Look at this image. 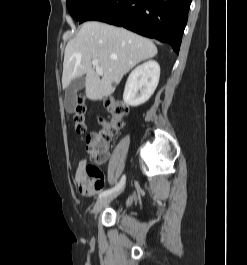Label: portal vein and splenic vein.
<instances>
[{"label":"portal vein and splenic vein","mask_w":247,"mask_h":265,"mask_svg":"<svg viewBox=\"0 0 247 265\" xmlns=\"http://www.w3.org/2000/svg\"><path fill=\"white\" fill-rule=\"evenodd\" d=\"M92 64L93 66L95 67L96 69V72L102 76L103 75V69L99 66L98 62L97 61H92Z\"/></svg>","instance_id":"1"}]
</instances>
